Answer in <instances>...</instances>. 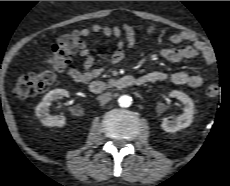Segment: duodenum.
Wrapping results in <instances>:
<instances>
[{
	"label": "duodenum",
	"mask_w": 230,
	"mask_h": 186,
	"mask_svg": "<svg viewBox=\"0 0 230 186\" xmlns=\"http://www.w3.org/2000/svg\"><path fill=\"white\" fill-rule=\"evenodd\" d=\"M143 83L144 80L141 77L136 78L131 75H124L111 81L94 80L90 83L89 89L95 94H100L107 90L129 88Z\"/></svg>",
	"instance_id": "1"
}]
</instances>
